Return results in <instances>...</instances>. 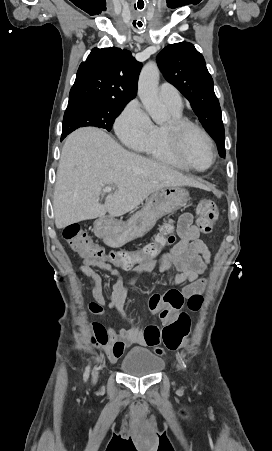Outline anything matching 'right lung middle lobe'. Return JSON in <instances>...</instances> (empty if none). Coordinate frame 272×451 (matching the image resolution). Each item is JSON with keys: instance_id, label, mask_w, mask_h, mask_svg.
Wrapping results in <instances>:
<instances>
[{"instance_id": "right-lung-middle-lobe-1", "label": "right lung middle lobe", "mask_w": 272, "mask_h": 451, "mask_svg": "<svg viewBox=\"0 0 272 451\" xmlns=\"http://www.w3.org/2000/svg\"><path fill=\"white\" fill-rule=\"evenodd\" d=\"M128 102L79 100L69 102L63 118L62 137L77 128L95 126L111 130L115 118Z\"/></svg>"}]
</instances>
